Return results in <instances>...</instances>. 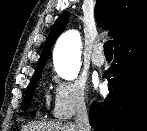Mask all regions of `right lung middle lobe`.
<instances>
[{
	"label": "right lung middle lobe",
	"instance_id": "1",
	"mask_svg": "<svg viewBox=\"0 0 147 131\" xmlns=\"http://www.w3.org/2000/svg\"><path fill=\"white\" fill-rule=\"evenodd\" d=\"M41 72L42 71L34 74L30 84L28 85L27 93L25 95V98H24L23 104H22L23 110H26L29 107V104L31 102V99H32V96H33V93H34V90L36 87V83L38 82V80L40 78Z\"/></svg>",
	"mask_w": 147,
	"mask_h": 131
}]
</instances>
